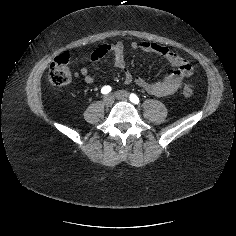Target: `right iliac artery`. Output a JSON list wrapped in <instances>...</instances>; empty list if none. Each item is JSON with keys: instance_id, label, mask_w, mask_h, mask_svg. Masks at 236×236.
Instances as JSON below:
<instances>
[{"instance_id": "right-iliac-artery-1", "label": "right iliac artery", "mask_w": 236, "mask_h": 236, "mask_svg": "<svg viewBox=\"0 0 236 236\" xmlns=\"http://www.w3.org/2000/svg\"><path fill=\"white\" fill-rule=\"evenodd\" d=\"M111 90H112V89H111L110 86H104V87L101 89V93H102V94H108Z\"/></svg>"}]
</instances>
